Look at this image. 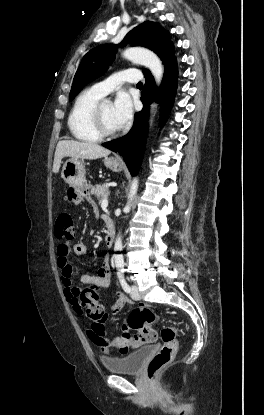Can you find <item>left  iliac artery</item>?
Instances as JSON below:
<instances>
[{"instance_id": "44dca946", "label": "left iliac artery", "mask_w": 264, "mask_h": 415, "mask_svg": "<svg viewBox=\"0 0 264 415\" xmlns=\"http://www.w3.org/2000/svg\"><path fill=\"white\" fill-rule=\"evenodd\" d=\"M119 280H120L121 286H122V288L124 289V291H125L126 293H130L131 288H130V286L128 285V283L126 282V280H125L123 277H122V278H120Z\"/></svg>"}]
</instances>
